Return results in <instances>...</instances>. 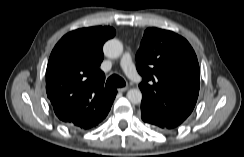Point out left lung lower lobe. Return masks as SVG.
Returning <instances> with one entry per match:
<instances>
[{
	"label": "left lung lower lobe",
	"instance_id": "obj_1",
	"mask_svg": "<svg viewBox=\"0 0 244 157\" xmlns=\"http://www.w3.org/2000/svg\"><path fill=\"white\" fill-rule=\"evenodd\" d=\"M141 118L142 120L150 125L152 128L158 131L171 130L164 122H162L156 113L146 104L141 102Z\"/></svg>",
	"mask_w": 244,
	"mask_h": 157
}]
</instances>
